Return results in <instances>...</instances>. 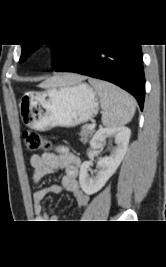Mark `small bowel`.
Returning <instances> with one entry per match:
<instances>
[{
    "label": "small bowel",
    "mask_w": 166,
    "mask_h": 267,
    "mask_svg": "<svg viewBox=\"0 0 166 267\" xmlns=\"http://www.w3.org/2000/svg\"><path fill=\"white\" fill-rule=\"evenodd\" d=\"M30 164L33 169L32 179L35 183L41 182L46 175L54 174L60 170L64 171L60 184H53L41 188L33 194L34 211L37 220H53L52 222H59L56 216H48L43 210L42 201L50 193L58 194L67 191L75 196L80 208L88 205L89 196L79 185L80 160L75 154L64 147H57L56 152L32 155Z\"/></svg>",
    "instance_id": "1"
}]
</instances>
